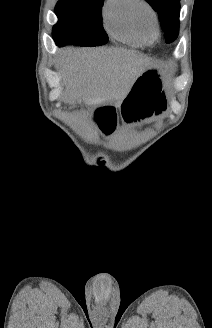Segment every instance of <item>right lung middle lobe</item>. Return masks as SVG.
<instances>
[{
	"label": "right lung middle lobe",
	"instance_id": "right-lung-middle-lobe-1",
	"mask_svg": "<svg viewBox=\"0 0 212 328\" xmlns=\"http://www.w3.org/2000/svg\"><path fill=\"white\" fill-rule=\"evenodd\" d=\"M104 0H60L55 13L59 19L53 27L56 44L98 46L108 42L102 26Z\"/></svg>",
	"mask_w": 212,
	"mask_h": 328
}]
</instances>
